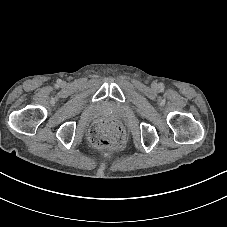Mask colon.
Instances as JSON below:
<instances>
[{
  "mask_svg": "<svg viewBox=\"0 0 227 227\" xmlns=\"http://www.w3.org/2000/svg\"><path fill=\"white\" fill-rule=\"evenodd\" d=\"M124 140V131L117 123L102 121L89 133L90 143L100 149L115 148Z\"/></svg>",
  "mask_w": 227,
  "mask_h": 227,
  "instance_id": "obj_1",
  "label": "colon"
}]
</instances>
